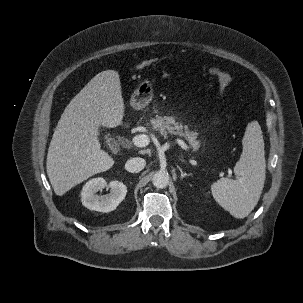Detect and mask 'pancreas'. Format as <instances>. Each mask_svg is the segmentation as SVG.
Wrapping results in <instances>:
<instances>
[{"label": "pancreas", "instance_id": "obj_1", "mask_svg": "<svg viewBox=\"0 0 303 303\" xmlns=\"http://www.w3.org/2000/svg\"><path fill=\"white\" fill-rule=\"evenodd\" d=\"M150 123L152 128L159 131L161 135L167 136V134H170L184 137L194 150L199 149L200 142L197 140L198 133L190 131L187 125L176 122L173 117H161L157 115L151 119Z\"/></svg>", "mask_w": 303, "mask_h": 303}]
</instances>
